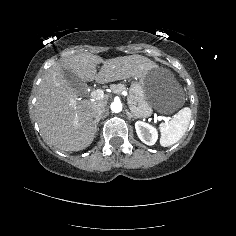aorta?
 <instances>
[{"instance_id": "1", "label": "aorta", "mask_w": 236, "mask_h": 236, "mask_svg": "<svg viewBox=\"0 0 236 236\" xmlns=\"http://www.w3.org/2000/svg\"><path fill=\"white\" fill-rule=\"evenodd\" d=\"M111 110L114 113H119L122 111V103L119 101H114L113 103H111Z\"/></svg>"}]
</instances>
